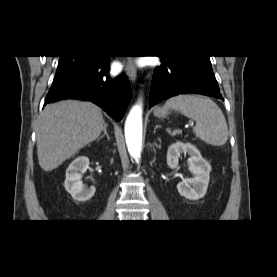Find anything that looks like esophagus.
Wrapping results in <instances>:
<instances>
[{"label":"esophagus","mask_w":277,"mask_h":277,"mask_svg":"<svg viewBox=\"0 0 277 277\" xmlns=\"http://www.w3.org/2000/svg\"><path fill=\"white\" fill-rule=\"evenodd\" d=\"M125 72L132 81L136 80V76H137L136 66L134 64L133 58L131 57L127 58V62L125 64Z\"/></svg>","instance_id":"esophagus-1"}]
</instances>
